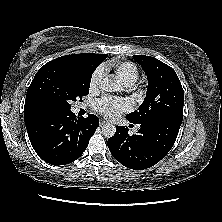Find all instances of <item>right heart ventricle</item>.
<instances>
[{"mask_svg": "<svg viewBox=\"0 0 222 222\" xmlns=\"http://www.w3.org/2000/svg\"><path fill=\"white\" fill-rule=\"evenodd\" d=\"M114 72L116 78L125 86H131L139 77V69L130 61H112L108 64Z\"/></svg>", "mask_w": 222, "mask_h": 222, "instance_id": "obj_1", "label": "right heart ventricle"}]
</instances>
